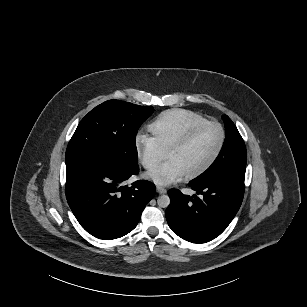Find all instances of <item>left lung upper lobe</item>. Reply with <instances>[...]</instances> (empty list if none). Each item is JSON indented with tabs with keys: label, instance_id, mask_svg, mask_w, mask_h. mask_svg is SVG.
Wrapping results in <instances>:
<instances>
[{
	"label": "left lung upper lobe",
	"instance_id": "5c2ea615",
	"mask_svg": "<svg viewBox=\"0 0 307 307\" xmlns=\"http://www.w3.org/2000/svg\"><path fill=\"white\" fill-rule=\"evenodd\" d=\"M226 138L223 147L211 167L190 184L199 185L215 179H231L244 183L246 170L245 143L231 119L224 115Z\"/></svg>",
	"mask_w": 307,
	"mask_h": 307
}]
</instances>
